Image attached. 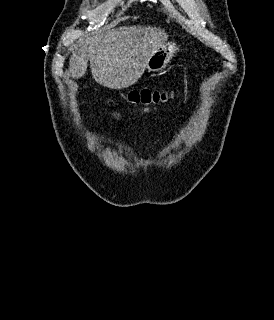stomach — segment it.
<instances>
[{"instance_id": "0dacf381", "label": "stomach", "mask_w": 274, "mask_h": 320, "mask_svg": "<svg viewBox=\"0 0 274 320\" xmlns=\"http://www.w3.org/2000/svg\"><path fill=\"white\" fill-rule=\"evenodd\" d=\"M177 50L176 44H170V42L169 44L160 46V48H156L155 52L148 58L146 70L148 72H160V70H164L170 64V60L174 58Z\"/></svg>"}]
</instances>
